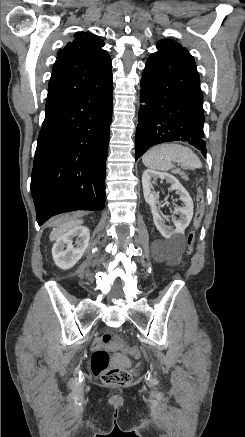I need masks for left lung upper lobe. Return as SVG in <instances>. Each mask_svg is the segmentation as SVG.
I'll use <instances>...</instances> for the list:
<instances>
[{
  "label": "left lung upper lobe",
  "mask_w": 245,
  "mask_h": 437,
  "mask_svg": "<svg viewBox=\"0 0 245 437\" xmlns=\"http://www.w3.org/2000/svg\"><path fill=\"white\" fill-rule=\"evenodd\" d=\"M164 44L176 46V47L180 48L181 50H183V51H185L186 53L189 54V52L185 48H183L181 44L177 43L176 41H173V40H160L157 45H164Z\"/></svg>",
  "instance_id": "1"
}]
</instances>
